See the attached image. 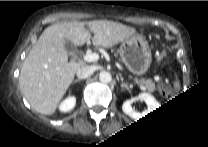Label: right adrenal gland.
<instances>
[{
    "instance_id": "1",
    "label": "right adrenal gland",
    "mask_w": 208,
    "mask_h": 147,
    "mask_svg": "<svg viewBox=\"0 0 208 147\" xmlns=\"http://www.w3.org/2000/svg\"><path fill=\"white\" fill-rule=\"evenodd\" d=\"M79 82H81V79H77V80H75V82H74V83H79Z\"/></svg>"
}]
</instances>
